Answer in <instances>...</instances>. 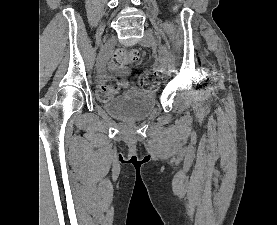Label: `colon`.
Masks as SVG:
<instances>
[{
	"label": "colon",
	"mask_w": 277,
	"mask_h": 225,
	"mask_svg": "<svg viewBox=\"0 0 277 225\" xmlns=\"http://www.w3.org/2000/svg\"><path fill=\"white\" fill-rule=\"evenodd\" d=\"M139 59V52L135 49L117 50L112 59L114 67H125ZM160 75L155 70H147L140 75L139 83L141 87L148 91L156 90L159 84ZM121 85L118 81L109 80L101 84L98 88L97 95L100 99H109L120 91Z\"/></svg>",
	"instance_id": "colon-1"
}]
</instances>
